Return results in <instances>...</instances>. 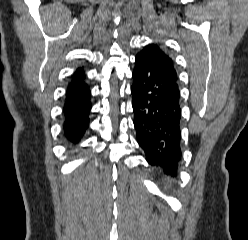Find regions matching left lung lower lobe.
I'll use <instances>...</instances> for the list:
<instances>
[{"mask_svg": "<svg viewBox=\"0 0 248 240\" xmlns=\"http://www.w3.org/2000/svg\"><path fill=\"white\" fill-rule=\"evenodd\" d=\"M132 78L138 144L148 162H158L168 173H174L182 156L179 87L141 54L135 57Z\"/></svg>", "mask_w": 248, "mask_h": 240, "instance_id": "obj_1", "label": "left lung lower lobe"}]
</instances>
